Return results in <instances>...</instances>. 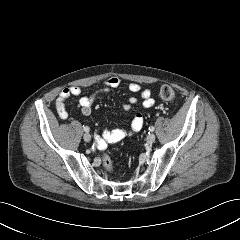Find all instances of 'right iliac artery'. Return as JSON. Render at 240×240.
Returning <instances> with one entry per match:
<instances>
[{
  "instance_id": "82829eb1",
  "label": "right iliac artery",
  "mask_w": 240,
  "mask_h": 240,
  "mask_svg": "<svg viewBox=\"0 0 240 240\" xmlns=\"http://www.w3.org/2000/svg\"><path fill=\"white\" fill-rule=\"evenodd\" d=\"M83 127H84V126H83ZM89 130H90V129H89L88 126H85V127H84V131H85V132H89Z\"/></svg>"
}]
</instances>
